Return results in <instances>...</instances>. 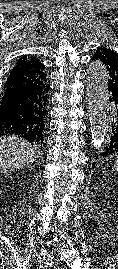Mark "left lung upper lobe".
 <instances>
[{"label":"left lung upper lobe","mask_w":118,"mask_h":269,"mask_svg":"<svg viewBox=\"0 0 118 269\" xmlns=\"http://www.w3.org/2000/svg\"><path fill=\"white\" fill-rule=\"evenodd\" d=\"M98 59L105 66L108 75V91L118 97V54L114 51L101 47L97 48L92 60Z\"/></svg>","instance_id":"5c2ea615"}]
</instances>
